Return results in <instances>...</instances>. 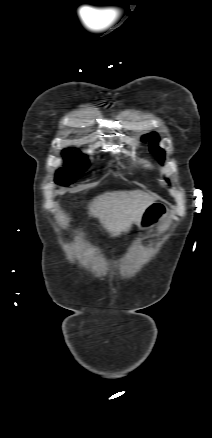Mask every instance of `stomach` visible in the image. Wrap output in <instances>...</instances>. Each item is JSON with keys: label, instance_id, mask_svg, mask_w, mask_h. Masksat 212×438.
<instances>
[{"label": "stomach", "instance_id": "obj_1", "mask_svg": "<svg viewBox=\"0 0 212 438\" xmlns=\"http://www.w3.org/2000/svg\"><path fill=\"white\" fill-rule=\"evenodd\" d=\"M169 217L170 211L167 206L161 202L154 201L144 210L139 228L143 231H152Z\"/></svg>", "mask_w": 212, "mask_h": 438}]
</instances>
